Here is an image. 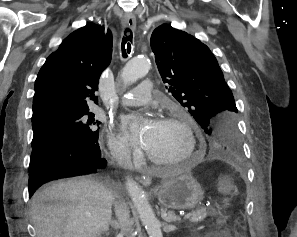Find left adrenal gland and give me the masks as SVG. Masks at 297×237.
<instances>
[{"mask_svg": "<svg viewBox=\"0 0 297 237\" xmlns=\"http://www.w3.org/2000/svg\"><path fill=\"white\" fill-rule=\"evenodd\" d=\"M161 216L168 223L179 222L181 220L180 217L176 216L174 212L169 211L167 213L166 209L163 208L161 209Z\"/></svg>", "mask_w": 297, "mask_h": 237, "instance_id": "left-adrenal-gland-1", "label": "left adrenal gland"}]
</instances>
